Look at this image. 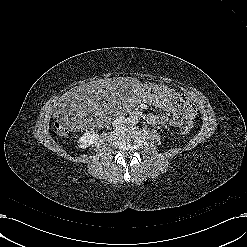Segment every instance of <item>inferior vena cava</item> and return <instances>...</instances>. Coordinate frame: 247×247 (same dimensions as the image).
Here are the masks:
<instances>
[{
  "label": "inferior vena cava",
  "instance_id": "602c4592",
  "mask_svg": "<svg viewBox=\"0 0 247 247\" xmlns=\"http://www.w3.org/2000/svg\"><path fill=\"white\" fill-rule=\"evenodd\" d=\"M126 122V119L124 117H117L113 122H112V125L114 127H117L119 125H122Z\"/></svg>",
  "mask_w": 247,
  "mask_h": 247
}]
</instances>
